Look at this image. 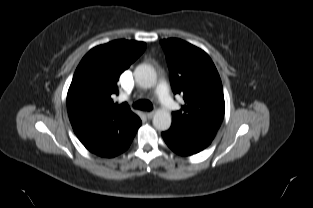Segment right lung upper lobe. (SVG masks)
<instances>
[{
  "instance_id": "obj_1",
  "label": "right lung upper lobe",
  "mask_w": 313,
  "mask_h": 208,
  "mask_svg": "<svg viewBox=\"0 0 313 208\" xmlns=\"http://www.w3.org/2000/svg\"><path fill=\"white\" fill-rule=\"evenodd\" d=\"M144 42L115 40L91 49L79 63L67 94V109L74 128L116 123L131 127L136 116L127 104L118 105L117 81L145 50Z\"/></svg>"
}]
</instances>
